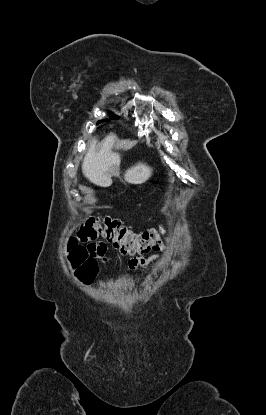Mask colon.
<instances>
[{"instance_id":"5ec220e1","label":"colon","mask_w":266,"mask_h":415,"mask_svg":"<svg viewBox=\"0 0 266 415\" xmlns=\"http://www.w3.org/2000/svg\"><path fill=\"white\" fill-rule=\"evenodd\" d=\"M162 234L163 232L157 229L134 232L113 217H91L82 224L77 238L71 239L68 243L70 261L80 278L90 282L97 270L95 256L87 246L78 244V241L87 242L101 236L123 254H146L158 251L162 247Z\"/></svg>"}]
</instances>
